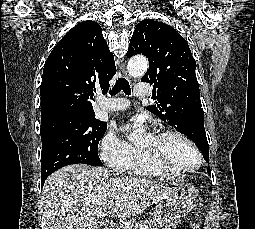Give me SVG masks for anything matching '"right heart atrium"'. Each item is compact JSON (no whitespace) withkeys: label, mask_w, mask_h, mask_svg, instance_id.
Instances as JSON below:
<instances>
[{"label":"right heart atrium","mask_w":255,"mask_h":229,"mask_svg":"<svg viewBox=\"0 0 255 229\" xmlns=\"http://www.w3.org/2000/svg\"><path fill=\"white\" fill-rule=\"evenodd\" d=\"M137 152V148L120 138L115 132H108L101 140V158L104 163L115 170L123 171Z\"/></svg>","instance_id":"1"}]
</instances>
